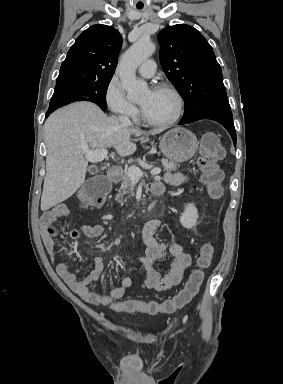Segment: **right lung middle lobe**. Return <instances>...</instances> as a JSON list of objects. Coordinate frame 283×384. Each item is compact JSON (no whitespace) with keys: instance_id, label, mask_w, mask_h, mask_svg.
<instances>
[{"instance_id":"right-lung-middle-lobe-1","label":"right lung middle lobe","mask_w":283,"mask_h":384,"mask_svg":"<svg viewBox=\"0 0 283 384\" xmlns=\"http://www.w3.org/2000/svg\"><path fill=\"white\" fill-rule=\"evenodd\" d=\"M110 80L70 83L55 87L49 109H57L75 101H91L106 110V91Z\"/></svg>"}]
</instances>
